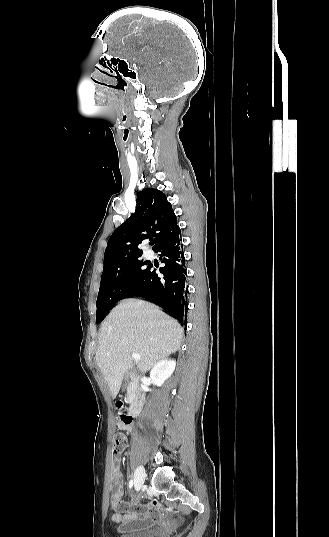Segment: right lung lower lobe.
I'll list each match as a JSON object with an SVG mask.
<instances>
[{
    "label": "right lung lower lobe",
    "instance_id": "98d812e1",
    "mask_svg": "<svg viewBox=\"0 0 329 537\" xmlns=\"http://www.w3.org/2000/svg\"><path fill=\"white\" fill-rule=\"evenodd\" d=\"M180 238L179 229L155 250L161 253L159 259L165 264L159 268L163 276L159 277L156 268L148 265L147 271L127 297L139 296L161 305L166 313L185 325L188 285Z\"/></svg>",
    "mask_w": 329,
    "mask_h": 537
}]
</instances>
